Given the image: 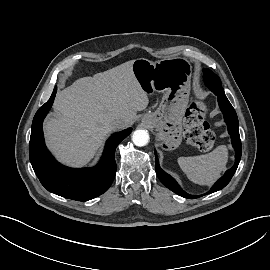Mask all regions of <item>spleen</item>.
I'll return each mask as SVG.
<instances>
[{"instance_id": "obj_1", "label": "spleen", "mask_w": 270, "mask_h": 270, "mask_svg": "<svg viewBox=\"0 0 270 270\" xmlns=\"http://www.w3.org/2000/svg\"><path fill=\"white\" fill-rule=\"evenodd\" d=\"M228 161L226 146L221 145L209 154L179 157L178 164L186 176L199 185H212L225 170Z\"/></svg>"}]
</instances>
